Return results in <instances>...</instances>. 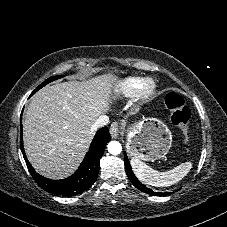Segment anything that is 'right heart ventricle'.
Listing matches in <instances>:
<instances>
[{
	"mask_svg": "<svg viewBox=\"0 0 227 227\" xmlns=\"http://www.w3.org/2000/svg\"><path fill=\"white\" fill-rule=\"evenodd\" d=\"M140 82L141 78L138 77L128 78L126 81L122 83L120 92L123 95H129L131 93H134L135 91H137Z\"/></svg>",
	"mask_w": 227,
	"mask_h": 227,
	"instance_id": "obj_1",
	"label": "right heart ventricle"
}]
</instances>
